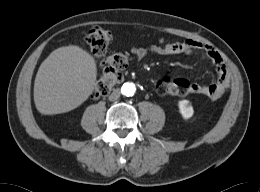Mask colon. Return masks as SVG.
Masks as SVG:
<instances>
[{"label":"colon","instance_id":"5ec220e1","mask_svg":"<svg viewBox=\"0 0 260 192\" xmlns=\"http://www.w3.org/2000/svg\"><path fill=\"white\" fill-rule=\"evenodd\" d=\"M87 45L96 56L105 55L110 43L111 34L100 27L91 28L86 35ZM128 65V56L114 53L103 60V73L96 82L93 97L107 95L112 87L122 78ZM190 82L182 78L163 77L155 85L156 92L161 96H183L190 92Z\"/></svg>","mask_w":260,"mask_h":192}]
</instances>
